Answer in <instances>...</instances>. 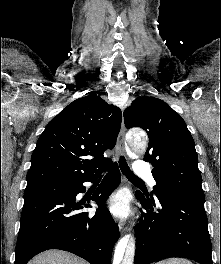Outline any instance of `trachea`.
Listing matches in <instances>:
<instances>
[{"mask_svg": "<svg viewBox=\"0 0 221 264\" xmlns=\"http://www.w3.org/2000/svg\"><path fill=\"white\" fill-rule=\"evenodd\" d=\"M119 166L122 171V173L129 179L135 182L143 183V180H141L139 177H137L129 168L126 159L124 156H120L119 159Z\"/></svg>", "mask_w": 221, "mask_h": 264, "instance_id": "3493384b", "label": "trachea"}]
</instances>
